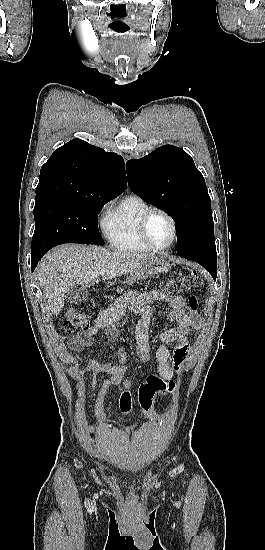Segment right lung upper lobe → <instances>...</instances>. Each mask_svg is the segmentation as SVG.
<instances>
[{"mask_svg": "<svg viewBox=\"0 0 265 550\" xmlns=\"http://www.w3.org/2000/svg\"><path fill=\"white\" fill-rule=\"evenodd\" d=\"M126 186L121 156L73 139L55 150L42 166L36 197L115 198Z\"/></svg>", "mask_w": 265, "mask_h": 550, "instance_id": "right-lung-upper-lobe-1", "label": "right lung upper lobe"}]
</instances>
